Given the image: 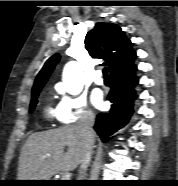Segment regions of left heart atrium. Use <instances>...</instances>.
Segmentation results:
<instances>
[{"label":"left heart atrium","instance_id":"obj_1","mask_svg":"<svg viewBox=\"0 0 178 186\" xmlns=\"http://www.w3.org/2000/svg\"><path fill=\"white\" fill-rule=\"evenodd\" d=\"M92 102L96 107H98V108L102 107L103 97H102V93L100 91H95L92 94Z\"/></svg>","mask_w":178,"mask_h":186}]
</instances>
